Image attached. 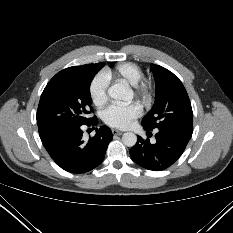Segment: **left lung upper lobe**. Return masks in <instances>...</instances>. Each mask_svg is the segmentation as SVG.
<instances>
[{"label": "left lung upper lobe", "mask_w": 233, "mask_h": 233, "mask_svg": "<svg viewBox=\"0 0 233 233\" xmlns=\"http://www.w3.org/2000/svg\"><path fill=\"white\" fill-rule=\"evenodd\" d=\"M156 81V100L143 118L145 129L193 132V112L188 94L176 75L159 66L151 65Z\"/></svg>", "instance_id": "5c2ea615"}]
</instances>
